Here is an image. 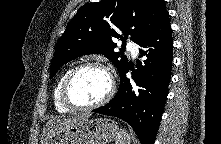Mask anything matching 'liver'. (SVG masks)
<instances>
[{
	"label": "liver",
	"mask_w": 221,
	"mask_h": 144,
	"mask_svg": "<svg viewBox=\"0 0 221 144\" xmlns=\"http://www.w3.org/2000/svg\"><path fill=\"white\" fill-rule=\"evenodd\" d=\"M88 117L89 115H78L71 118H58L47 121L42 132V137L40 141L41 144H45L47 139L52 137L56 132L64 128L82 123L84 120L88 119Z\"/></svg>",
	"instance_id": "obj_1"
}]
</instances>
